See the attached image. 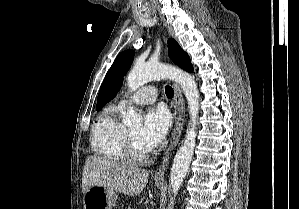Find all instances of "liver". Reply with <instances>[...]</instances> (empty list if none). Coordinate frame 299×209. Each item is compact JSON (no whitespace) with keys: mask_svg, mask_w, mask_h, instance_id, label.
Masks as SVG:
<instances>
[{"mask_svg":"<svg viewBox=\"0 0 299 209\" xmlns=\"http://www.w3.org/2000/svg\"><path fill=\"white\" fill-rule=\"evenodd\" d=\"M147 170L129 166L99 156H89L86 159L82 191L85 194L91 186H103L125 195L141 193L148 183Z\"/></svg>","mask_w":299,"mask_h":209,"instance_id":"1","label":"liver"}]
</instances>
